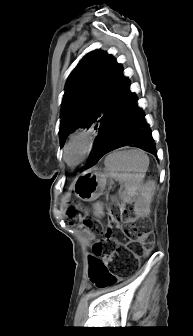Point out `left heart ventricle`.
<instances>
[{
    "mask_svg": "<svg viewBox=\"0 0 193 336\" xmlns=\"http://www.w3.org/2000/svg\"><path fill=\"white\" fill-rule=\"evenodd\" d=\"M81 151H82V144L81 143L73 144L68 151L69 160L70 161H76L80 157Z\"/></svg>",
    "mask_w": 193,
    "mask_h": 336,
    "instance_id": "obj_1",
    "label": "left heart ventricle"
}]
</instances>
